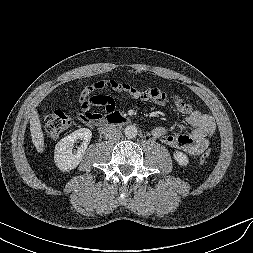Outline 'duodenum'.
Segmentation results:
<instances>
[{
  "label": "duodenum",
  "mask_w": 253,
  "mask_h": 253,
  "mask_svg": "<svg viewBox=\"0 0 253 253\" xmlns=\"http://www.w3.org/2000/svg\"><path fill=\"white\" fill-rule=\"evenodd\" d=\"M129 122L128 118L120 113H114L110 115L107 120L99 127L100 132L105 133L111 129L127 124Z\"/></svg>",
  "instance_id": "1"
}]
</instances>
